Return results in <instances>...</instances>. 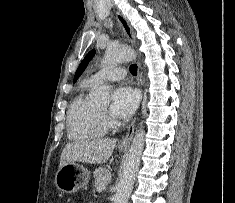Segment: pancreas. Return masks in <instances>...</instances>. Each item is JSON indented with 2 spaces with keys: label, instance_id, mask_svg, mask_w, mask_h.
I'll return each mask as SVG.
<instances>
[{
  "label": "pancreas",
  "instance_id": "pancreas-1",
  "mask_svg": "<svg viewBox=\"0 0 235 203\" xmlns=\"http://www.w3.org/2000/svg\"><path fill=\"white\" fill-rule=\"evenodd\" d=\"M94 187L97 189L108 184L112 178L111 172L106 168H98L94 171Z\"/></svg>",
  "mask_w": 235,
  "mask_h": 203
}]
</instances>
